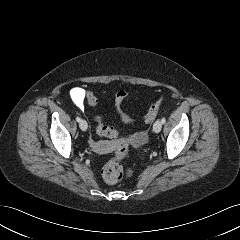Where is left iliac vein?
<instances>
[{"instance_id": "obj_1", "label": "left iliac vein", "mask_w": 240, "mask_h": 240, "mask_svg": "<svg viewBox=\"0 0 240 240\" xmlns=\"http://www.w3.org/2000/svg\"><path fill=\"white\" fill-rule=\"evenodd\" d=\"M161 128H162V122L160 120H157L153 125V131L155 133H159L161 131Z\"/></svg>"}]
</instances>
